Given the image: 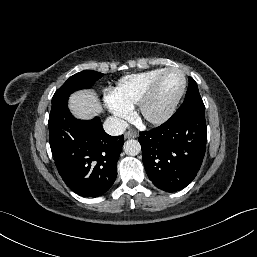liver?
<instances>
[{
    "instance_id": "6515ba94",
    "label": "liver",
    "mask_w": 257,
    "mask_h": 257,
    "mask_svg": "<svg viewBox=\"0 0 257 257\" xmlns=\"http://www.w3.org/2000/svg\"><path fill=\"white\" fill-rule=\"evenodd\" d=\"M69 109L79 119H91L103 111L102 105L92 91H79L70 96Z\"/></svg>"
}]
</instances>
